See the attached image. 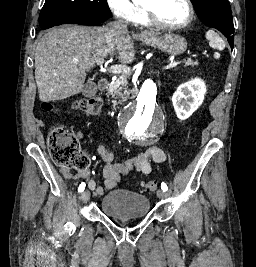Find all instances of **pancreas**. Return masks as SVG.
Wrapping results in <instances>:
<instances>
[{
	"label": "pancreas",
	"mask_w": 256,
	"mask_h": 267,
	"mask_svg": "<svg viewBox=\"0 0 256 267\" xmlns=\"http://www.w3.org/2000/svg\"><path fill=\"white\" fill-rule=\"evenodd\" d=\"M185 66H197L196 62H192V60H187L185 62ZM125 78H129L130 74H123ZM108 92L114 100H112V104H122V102H127V100H131L130 94H138L133 92V90H128V82H115V84H110L108 88Z\"/></svg>",
	"instance_id": "1"
}]
</instances>
